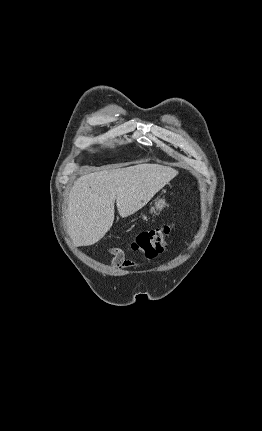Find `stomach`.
Listing matches in <instances>:
<instances>
[{"instance_id":"0dacf381","label":"stomach","mask_w":262,"mask_h":431,"mask_svg":"<svg viewBox=\"0 0 262 431\" xmlns=\"http://www.w3.org/2000/svg\"><path fill=\"white\" fill-rule=\"evenodd\" d=\"M166 205V202L164 199L160 198L158 200L155 201V208L156 210L161 211Z\"/></svg>"}]
</instances>
